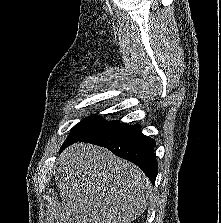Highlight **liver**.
<instances>
[{
    "label": "liver",
    "instance_id": "obj_1",
    "mask_svg": "<svg viewBox=\"0 0 221 223\" xmlns=\"http://www.w3.org/2000/svg\"><path fill=\"white\" fill-rule=\"evenodd\" d=\"M55 181L62 200L53 223H131L152 199V187L135 164L106 148L77 143L56 161Z\"/></svg>",
    "mask_w": 221,
    "mask_h": 223
}]
</instances>
